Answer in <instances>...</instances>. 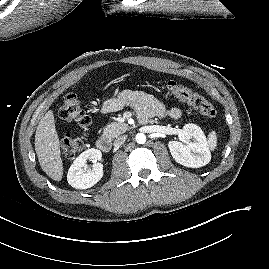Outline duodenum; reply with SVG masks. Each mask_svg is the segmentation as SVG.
I'll list each match as a JSON object with an SVG mask.
<instances>
[{
  "label": "duodenum",
  "mask_w": 269,
  "mask_h": 269,
  "mask_svg": "<svg viewBox=\"0 0 269 269\" xmlns=\"http://www.w3.org/2000/svg\"><path fill=\"white\" fill-rule=\"evenodd\" d=\"M96 147L98 150L107 153L111 150V141L107 137L101 136L96 141Z\"/></svg>",
  "instance_id": "duodenum-1"
}]
</instances>
